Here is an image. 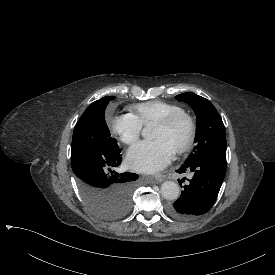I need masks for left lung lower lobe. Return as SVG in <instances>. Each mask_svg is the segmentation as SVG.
Returning a JSON list of instances; mask_svg holds the SVG:
<instances>
[{
	"label": "left lung lower lobe",
	"instance_id": "1",
	"mask_svg": "<svg viewBox=\"0 0 275 275\" xmlns=\"http://www.w3.org/2000/svg\"><path fill=\"white\" fill-rule=\"evenodd\" d=\"M186 171L194 172L193 178L184 186L180 198L168 206V213L180 220H189L205 214L213 206L226 174V158L205 157L184 164L177 172ZM179 183L181 184L180 181Z\"/></svg>",
	"mask_w": 275,
	"mask_h": 275
}]
</instances>
